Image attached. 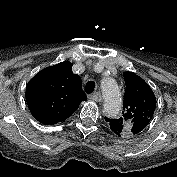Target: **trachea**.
<instances>
[{
    "mask_svg": "<svg viewBox=\"0 0 177 177\" xmlns=\"http://www.w3.org/2000/svg\"><path fill=\"white\" fill-rule=\"evenodd\" d=\"M95 83L93 81H88L85 86V91L87 94H91L94 91Z\"/></svg>",
    "mask_w": 177,
    "mask_h": 177,
    "instance_id": "3493384b",
    "label": "trachea"
}]
</instances>
